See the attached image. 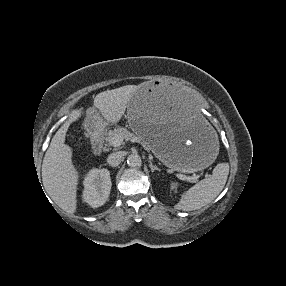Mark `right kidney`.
I'll list each match as a JSON object with an SVG mask.
<instances>
[{"label": "right kidney", "instance_id": "obj_1", "mask_svg": "<svg viewBox=\"0 0 286 286\" xmlns=\"http://www.w3.org/2000/svg\"><path fill=\"white\" fill-rule=\"evenodd\" d=\"M83 184V200L91 207L102 206L108 200L112 186L108 169H91Z\"/></svg>", "mask_w": 286, "mask_h": 286}]
</instances>
